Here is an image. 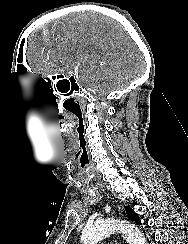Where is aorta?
Instances as JSON below:
<instances>
[{"mask_svg": "<svg viewBox=\"0 0 188 244\" xmlns=\"http://www.w3.org/2000/svg\"><path fill=\"white\" fill-rule=\"evenodd\" d=\"M118 231L125 235L128 244H147L143 234L134 224L119 219H108L85 227L81 233V241L83 244H96Z\"/></svg>", "mask_w": 188, "mask_h": 244, "instance_id": "1", "label": "aorta"}]
</instances>
